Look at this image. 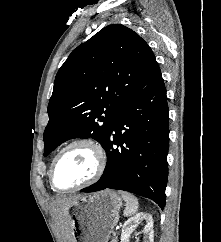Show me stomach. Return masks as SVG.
<instances>
[{
  "instance_id": "1",
  "label": "stomach",
  "mask_w": 221,
  "mask_h": 242,
  "mask_svg": "<svg viewBox=\"0 0 221 242\" xmlns=\"http://www.w3.org/2000/svg\"><path fill=\"white\" fill-rule=\"evenodd\" d=\"M121 206V197L112 190L79 197L68 209L72 242H108Z\"/></svg>"
}]
</instances>
